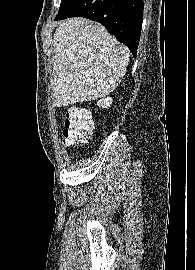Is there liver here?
Masks as SVG:
<instances>
[{"label": "liver", "mask_w": 195, "mask_h": 270, "mask_svg": "<svg viewBox=\"0 0 195 270\" xmlns=\"http://www.w3.org/2000/svg\"><path fill=\"white\" fill-rule=\"evenodd\" d=\"M53 46L57 107L105 97L122 81L130 60L128 49L104 26L80 17L59 24Z\"/></svg>", "instance_id": "obj_1"}]
</instances>
